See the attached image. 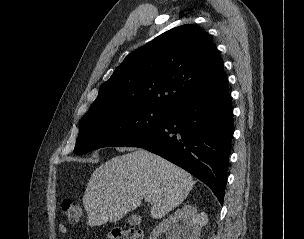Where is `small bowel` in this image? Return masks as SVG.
Instances as JSON below:
<instances>
[{"label":"small bowel","mask_w":304,"mask_h":239,"mask_svg":"<svg viewBox=\"0 0 304 239\" xmlns=\"http://www.w3.org/2000/svg\"><path fill=\"white\" fill-rule=\"evenodd\" d=\"M58 230H59V232L61 233V234H66L67 233V227L64 225V224H60L59 226H58Z\"/></svg>","instance_id":"small-bowel-1"}]
</instances>
